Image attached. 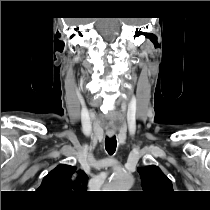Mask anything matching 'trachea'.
Segmentation results:
<instances>
[{
    "label": "trachea",
    "instance_id": "trachea-1",
    "mask_svg": "<svg viewBox=\"0 0 210 210\" xmlns=\"http://www.w3.org/2000/svg\"><path fill=\"white\" fill-rule=\"evenodd\" d=\"M117 146L116 136H112L111 138L106 137L105 139V148L108 154H114Z\"/></svg>",
    "mask_w": 210,
    "mask_h": 210
}]
</instances>
